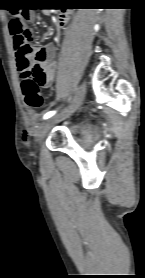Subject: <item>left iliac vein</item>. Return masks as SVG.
<instances>
[{"label": "left iliac vein", "mask_w": 145, "mask_h": 278, "mask_svg": "<svg viewBox=\"0 0 145 278\" xmlns=\"http://www.w3.org/2000/svg\"><path fill=\"white\" fill-rule=\"evenodd\" d=\"M86 94V85L85 83H82L78 89L77 95L73 101V103L71 104V106L69 107V109L67 111H65L63 114L59 115V116H55L52 117L50 119H47L41 126H39V128L36 130V142L38 144L41 143L42 139L44 138V136L46 135L47 131L56 123H58L59 121L69 117L70 115H72L76 109L79 107V105L82 103L84 97Z\"/></svg>", "instance_id": "1"}]
</instances>
